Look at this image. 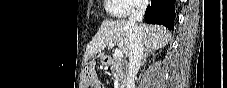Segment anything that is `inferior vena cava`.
Returning <instances> with one entry per match:
<instances>
[{
	"mask_svg": "<svg viewBox=\"0 0 227 88\" xmlns=\"http://www.w3.org/2000/svg\"><path fill=\"white\" fill-rule=\"evenodd\" d=\"M148 6V0H141L136 4V10L131 13L127 27L129 29V68L127 88H134V77L138 73L143 57L144 46L141 31L137 23L141 22Z\"/></svg>",
	"mask_w": 227,
	"mask_h": 88,
	"instance_id": "1",
	"label": "inferior vena cava"
}]
</instances>
